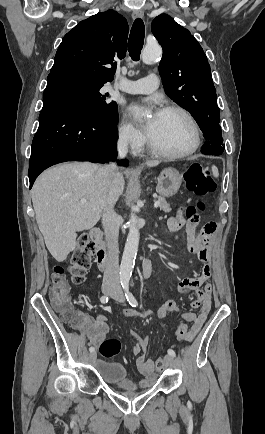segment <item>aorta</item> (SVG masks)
I'll list each match as a JSON object with an SVG mask.
<instances>
[{
  "instance_id": "762f6f07",
  "label": "aorta",
  "mask_w": 265,
  "mask_h": 434,
  "mask_svg": "<svg viewBox=\"0 0 265 434\" xmlns=\"http://www.w3.org/2000/svg\"><path fill=\"white\" fill-rule=\"evenodd\" d=\"M162 50L161 48H153V46H146L144 48L141 56L143 64H152L156 58L161 56ZM148 112L142 114V116H147ZM137 210V206H131V214L129 220V234L127 236L122 262L120 266L119 272V280L120 282H129L133 268L135 266V260L138 252L139 240H140V222L138 220V216H136L135 212Z\"/></svg>"
}]
</instances>
